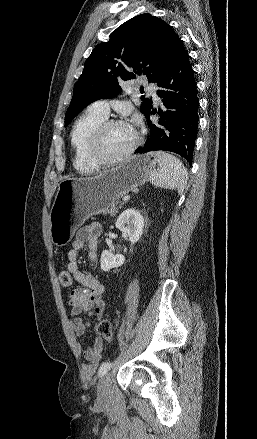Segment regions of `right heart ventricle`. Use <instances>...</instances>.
Listing matches in <instances>:
<instances>
[{"mask_svg":"<svg viewBox=\"0 0 257 439\" xmlns=\"http://www.w3.org/2000/svg\"><path fill=\"white\" fill-rule=\"evenodd\" d=\"M105 119L106 116L89 109L76 120L73 126L71 132L73 164L80 173L91 174L98 168L89 154L88 144L94 129Z\"/></svg>","mask_w":257,"mask_h":439,"instance_id":"right-heart-ventricle-1","label":"right heart ventricle"}]
</instances>
